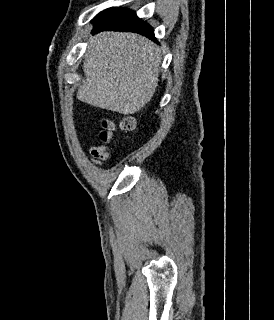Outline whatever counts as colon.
<instances>
[{
  "label": "colon",
  "mask_w": 274,
  "mask_h": 320,
  "mask_svg": "<svg viewBox=\"0 0 274 320\" xmlns=\"http://www.w3.org/2000/svg\"><path fill=\"white\" fill-rule=\"evenodd\" d=\"M100 125H101L100 140L102 143L106 144L109 136V130L111 128V122L107 119H103L101 120ZM136 125H137L136 121L133 117H126L120 123V128L124 131H132L136 128ZM105 149H107L106 145H105Z\"/></svg>",
  "instance_id": "5ec220e1"
}]
</instances>
